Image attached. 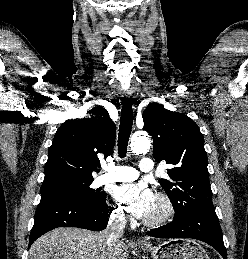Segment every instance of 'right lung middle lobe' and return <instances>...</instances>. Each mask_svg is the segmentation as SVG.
Returning <instances> with one entry per match:
<instances>
[{"label": "right lung middle lobe", "instance_id": "1", "mask_svg": "<svg viewBox=\"0 0 248 259\" xmlns=\"http://www.w3.org/2000/svg\"><path fill=\"white\" fill-rule=\"evenodd\" d=\"M93 180L87 181H60L42 184L41 197L69 196L77 199L99 201L105 197L104 192H97L90 188Z\"/></svg>", "mask_w": 248, "mask_h": 259}]
</instances>
